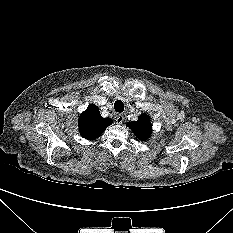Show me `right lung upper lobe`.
<instances>
[{
    "label": "right lung upper lobe",
    "instance_id": "obj_1",
    "mask_svg": "<svg viewBox=\"0 0 233 233\" xmlns=\"http://www.w3.org/2000/svg\"><path fill=\"white\" fill-rule=\"evenodd\" d=\"M112 124L110 118H103L96 105L91 104L79 117V131L83 138L94 140Z\"/></svg>",
    "mask_w": 233,
    "mask_h": 233
}]
</instances>
